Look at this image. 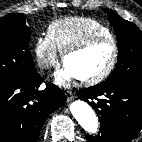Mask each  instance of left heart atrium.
<instances>
[{
    "label": "left heart atrium",
    "instance_id": "1",
    "mask_svg": "<svg viewBox=\"0 0 142 142\" xmlns=\"http://www.w3.org/2000/svg\"><path fill=\"white\" fill-rule=\"evenodd\" d=\"M55 82L59 85H66L74 79H77L74 71L64 63V65L59 68L54 75Z\"/></svg>",
    "mask_w": 142,
    "mask_h": 142
}]
</instances>
